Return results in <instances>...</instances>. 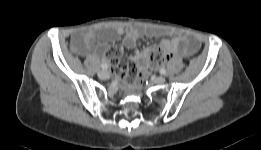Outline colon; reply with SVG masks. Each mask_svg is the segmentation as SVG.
Wrapping results in <instances>:
<instances>
[{
	"instance_id": "colon-1",
	"label": "colon",
	"mask_w": 261,
	"mask_h": 150,
	"mask_svg": "<svg viewBox=\"0 0 261 150\" xmlns=\"http://www.w3.org/2000/svg\"><path fill=\"white\" fill-rule=\"evenodd\" d=\"M90 41V37H86L85 42L89 44ZM72 51L76 52V48H72ZM171 57L172 53L166 48V46L163 43H159L150 50H148L145 63L142 69H140L141 76L138 79L142 80L146 76L148 68H157L166 61H168Z\"/></svg>"
}]
</instances>
